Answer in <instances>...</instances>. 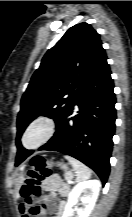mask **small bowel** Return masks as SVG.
Returning a JSON list of instances; mask_svg holds the SVG:
<instances>
[{
  "label": "small bowel",
  "instance_id": "1",
  "mask_svg": "<svg viewBox=\"0 0 132 217\" xmlns=\"http://www.w3.org/2000/svg\"><path fill=\"white\" fill-rule=\"evenodd\" d=\"M43 188L48 192L43 197V206L37 217H45L46 214H53V217H61L64 209V203L55 204L53 199L56 194L67 197L70 192L69 186L57 174H52L46 177L42 182ZM33 199H25V202L20 205L22 217H29V210L33 207Z\"/></svg>",
  "mask_w": 132,
  "mask_h": 217
}]
</instances>
